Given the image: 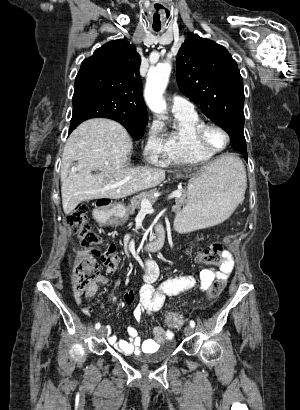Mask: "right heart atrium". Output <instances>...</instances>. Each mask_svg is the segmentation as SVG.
Masks as SVG:
<instances>
[{
  "label": "right heart atrium",
  "mask_w": 300,
  "mask_h": 410,
  "mask_svg": "<svg viewBox=\"0 0 300 410\" xmlns=\"http://www.w3.org/2000/svg\"><path fill=\"white\" fill-rule=\"evenodd\" d=\"M164 144L163 130L157 121H152L148 128L145 154L151 160H157L162 154Z\"/></svg>",
  "instance_id": "right-heart-atrium-1"
}]
</instances>
